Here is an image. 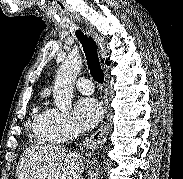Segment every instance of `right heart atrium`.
I'll use <instances>...</instances> for the list:
<instances>
[{
	"instance_id": "obj_1",
	"label": "right heart atrium",
	"mask_w": 183,
	"mask_h": 179,
	"mask_svg": "<svg viewBox=\"0 0 183 179\" xmlns=\"http://www.w3.org/2000/svg\"><path fill=\"white\" fill-rule=\"evenodd\" d=\"M44 129L50 139L58 141L75 132L76 126L67 113L50 109L44 122Z\"/></svg>"
}]
</instances>
